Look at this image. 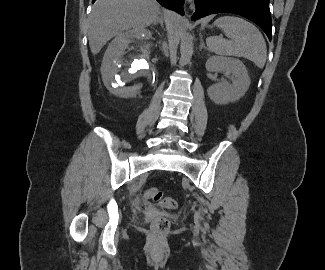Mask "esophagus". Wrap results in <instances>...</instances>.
Returning a JSON list of instances; mask_svg holds the SVG:
<instances>
[{
    "instance_id": "1",
    "label": "esophagus",
    "mask_w": 325,
    "mask_h": 270,
    "mask_svg": "<svg viewBox=\"0 0 325 270\" xmlns=\"http://www.w3.org/2000/svg\"><path fill=\"white\" fill-rule=\"evenodd\" d=\"M189 4H190V7H194V3H193V0H186Z\"/></svg>"
}]
</instances>
